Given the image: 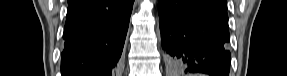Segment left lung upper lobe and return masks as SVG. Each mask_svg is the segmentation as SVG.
I'll return each mask as SVG.
<instances>
[{"mask_svg":"<svg viewBox=\"0 0 287 76\" xmlns=\"http://www.w3.org/2000/svg\"><path fill=\"white\" fill-rule=\"evenodd\" d=\"M212 1L221 3L224 7H227V1L226 0H212Z\"/></svg>","mask_w":287,"mask_h":76,"instance_id":"1","label":"left lung upper lobe"}]
</instances>
